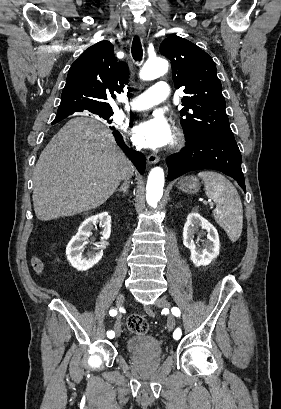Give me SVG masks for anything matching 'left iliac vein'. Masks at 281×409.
<instances>
[{"label":"left iliac vein","mask_w":281,"mask_h":409,"mask_svg":"<svg viewBox=\"0 0 281 409\" xmlns=\"http://www.w3.org/2000/svg\"><path fill=\"white\" fill-rule=\"evenodd\" d=\"M155 306L159 307V308H163V310H165L167 313H169V309H170V303L168 300H166L165 298H159L155 301ZM175 327V319L174 316L172 314H168V320H167V328L169 331H172Z\"/></svg>","instance_id":"obj_1"}]
</instances>
